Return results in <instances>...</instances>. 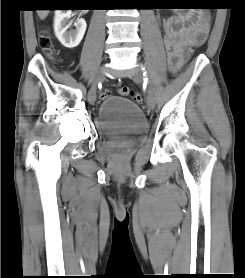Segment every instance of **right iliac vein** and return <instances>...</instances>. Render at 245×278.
Returning a JSON list of instances; mask_svg holds the SVG:
<instances>
[{
    "mask_svg": "<svg viewBox=\"0 0 245 278\" xmlns=\"http://www.w3.org/2000/svg\"><path fill=\"white\" fill-rule=\"evenodd\" d=\"M105 72H106L105 67L100 68L96 72V75H95V78L93 81V85L88 93V101L90 104H94V102L96 100V87H97V84H99L104 79Z\"/></svg>",
    "mask_w": 245,
    "mask_h": 278,
    "instance_id": "right-iliac-vein-1",
    "label": "right iliac vein"
}]
</instances>
